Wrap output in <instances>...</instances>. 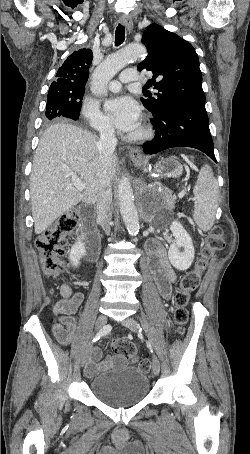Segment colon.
Listing matches in <instances>:
<instances>
[{"instance_id": "obj_1", "label": "colon", "mask_w": 250, "mask_h": 454, "mask_svg": "<svg viewBox=\"0 0 250 454\" xmlns=\"http://www.w3.org/2000/svg\"><path fill=\"white\" fill-rule=\"evenodd\" d=\"M77 223V214L69 211L59 217L53 225L37 238L36 247L40 255L42 270L46 276L56 278L65 268L63 260L64 247L74 233ZM223 247V231L220 227H214L203 243L195 265L181 277L179 287L174 296V319L180 332L183 331L189 319L187 305L192 292L198 287L201 276L207 269L211 258ZM112 351L115 355L133 360L143 371H147L150 368L149 361L137 358L134 346L125 340H114Z\"/></svg>"}]
</instances>
